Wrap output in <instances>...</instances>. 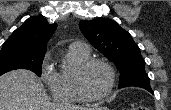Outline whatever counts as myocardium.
Masks as SVG:
<instances>
[{"label":"myocardium","mask_w":171,"mask_h":110,"mask_svg":"<svg viewBox=\"0 0 171 110\" xmlns=\"http://www.w3.org/2000/svg\"><path fill=\"white\" fill-rule=\"evenodd\" d=\"M94 64H101L108 70L110 74V84L109 87L105 92H103L100 95L93 96L87 92V90L84 87V76L87 70ZM116 85V72L113 68V66L104 59L99 58H90L87 61H85L75 72L74 75V86L75 90L78 93V95L84 100L88 102H94V101H100L107 97H109Z\"/></svg>","instance_id":"1"}]
</instances>
